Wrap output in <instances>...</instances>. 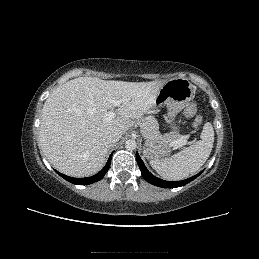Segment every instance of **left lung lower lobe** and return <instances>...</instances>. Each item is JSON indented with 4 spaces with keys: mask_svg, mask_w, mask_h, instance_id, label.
Masks as SVG:
<instances>
[{
    "mask_svg": "<svg viewBox=\"0 0 259 259\" xmlns=\"http://www.w3.org/2000/svg\"><path fill=\"white\" fill-rule=\"evenodd\" d=\"M136 159H137V162H138V165L140 167V170H141V174L142 176L144 177V179L155 185V186H158V187H163V188H176V187H180V186H184L186 185L187 183L191 182L192 180H194L196 177H198L202 172L198 173L197 175L193 176V177H190L188 179H185V180H182V181H165V180H162V179H159L157 177H155L154 175H152L148 170L147 168L145 167L143 161L141 160L140 156L138 153H136Z\"/></svg>",
    "mask_w": 259,
    "mask_h": 259,
    "instance_id": "obj_1",
    "label": "left lung lower lobe"
}]
</instances>
